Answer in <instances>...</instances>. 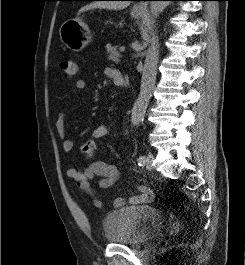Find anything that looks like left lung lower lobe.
Masks as SVG:
<instances>
[{
  "label": "left lung lower lobe",
  "mask_w": 245,
  "mask_h": 265,
  "mask_svg": "<svg viewBox=\"0 0 245 265\" xmlns=\"http://www.w3.org/2000/svg\"><path fill=\"white\" fill-rule=\"evenodd\" d=\"M127 1H142V0H127ZM145 1H152V0H145Z\"/></svg>",
  "instance_id": "left-lung-lower-lobe-1"
}]
</instances>
